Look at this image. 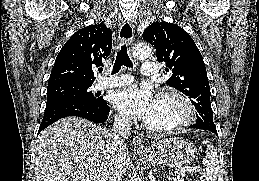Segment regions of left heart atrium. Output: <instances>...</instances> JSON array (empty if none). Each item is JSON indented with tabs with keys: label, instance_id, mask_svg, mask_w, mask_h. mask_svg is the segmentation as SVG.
<instances>
[{
	"label": "left heart atrium",
	"instance_id": "1",
	"mask_svg": "<svg viewBox=\"0 0 259 181\" xmlns=\"http://www.w3.org/2000/svg\"><path fill=\"white\" fill-rule=\"evenodd\" d=\"M112 103L122 114L148 122L152 117L157 98L147 87L129 86L113 93Z\"/></svg>",
	"mask_w": 259,
	"mask_h": 181
}]
</instances>
